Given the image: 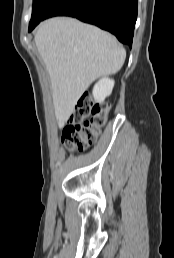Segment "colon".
<instances>
[{
    "instance_id": "1",
    "label": "colon",
    "mask_w": 174,
    "mask_h": 258,
    "mask_svg": "<svg viewBox=\"0 0 174 258\" xmlns=\"http://www.w3.org/2000/svg\"><path fill=\"white\" fill-rule=\"evenodd\" d=\"M110 104L96 103L88 95L79 98L62 131V143L71 151H83L95 142L105 126Z\"/></svg>"
}]
</instances>
